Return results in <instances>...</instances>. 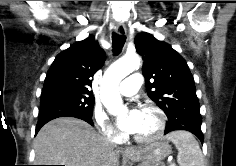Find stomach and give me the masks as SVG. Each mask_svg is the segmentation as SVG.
<instances>
[{"label": "stomach", "mask_w": 236, "mask_h": 166, "mask_svg": "<svg viewBox=\"0 0 236 166\" xmlns=\"http://www.w3.org/2000/svg\"><path fill=\"white\" fill-rule=\"evenodd\" d=\"M171 154V148L166 142H156L137 150L129 158L142 161V166H160L161 162ZM162 166V165H161Z\"/></svg>", "instance_id": "0dacf381"}]
</instances>
